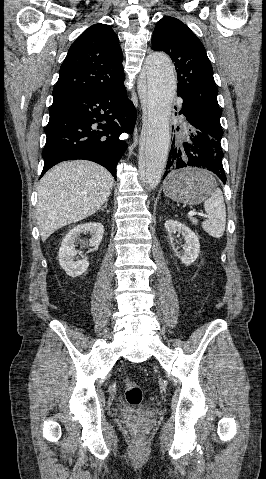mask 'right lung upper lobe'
<instances>
[{"label": "right lung upper lobe", "mask_w": 266, "mask_h": 479, "mask_svg": "<svg viewBox=\"0 0 266 479\" xmlns=\"http://www.w3.org/2000/svg\"><path fill=\"white\" fill-rule=\"evenodd\" d=\"M122 61V50L113 29L102 23L90 26L69 48L53 98L119 85L124 81Z\"/></svg>", "instance_id": "cb5924a9"}]
</instances>
